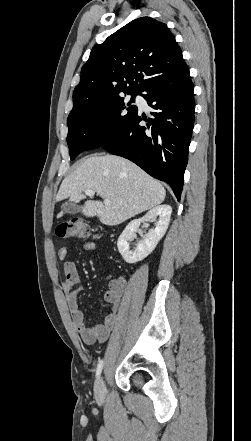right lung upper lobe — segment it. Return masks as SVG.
<instances>
[{"instance_id":"cb5924a9","label":"right lung upper lobe","mask_w":251,"mask_h":441,"mask_svg":"<svg viewBox=\"0 0 251 441\" xmlns=\"http://www.w3.org/2000/svg\"><path fill=\"white\" fill-rule=\"evenodd\" d=\"M186 63L174 35L153 18L135 19L93 47L81 69L73 104L139 94Z\"/></svg>"}]
</instances>
